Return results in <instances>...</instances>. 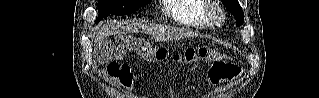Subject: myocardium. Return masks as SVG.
<instances>
[{
    "label": "myocardium",
    "instance_id": "f54148a6",
    "mask_svg": "<svg viewBox=\"0 0 319 98\" xmlns=\"http://www.w3.org/2000/svg\"><path fill=\"white\" fill-rule=\"evenodd\" d=\"M205 17L210 24H221L224 21V11L216 1H211L205 8Z\"/></svg>",
    "mask_w": 319,
    "mask_h": 98
}]
</instances>
